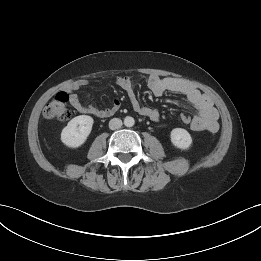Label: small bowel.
<instances>
[{
  "label": "small bowel",
  "mask_w": 261,
  "mask_h": 261,
  "mask_svg": "<svg viewBox=\"0 0 261 261\" xmlns=\"http://www.w3.org/2000/svg\"><path fill=\"white\" fill-rule=\"evenodd\" d=\"M116 83L128 95L132 108L138 114L152 121H159L160 115L157 109L140 104L135 94L134 81L129 77H119ZM87 84L86 80H79L67 88L70 104L81 114H91L97 117H108L113 115L119 108L120 102L114 100L111 107L99 109L94 105L81 103L76 91ZM146 85L155 96H161L166 92L183 95L196 109L197 113L191 119V129L194 131H218L219 114L209 97L201 93L190 83L172 77H159L150 75L146 79Z\"/></svg>",
  "instance_id": "1"
}]
</instances>
